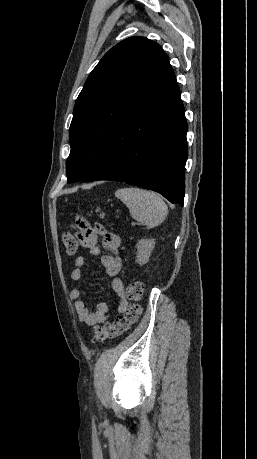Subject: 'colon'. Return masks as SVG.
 Returning a JSON list of instances; mask_svg holds the SVG:
<instances>
[{
	"label": "colon",
	"instance_id": "1",
	"mask_svg": "<svg viewBox=\"0 0 257 459\" xmlns=\"http://www.w3.org/2000/svg\"><path fill=\"white\" fill-rule=\"evenodd\" d=\"M76 222L70 227H76ZM68 231L69 230L63 234L62 241L64 243L67 254L74 255L79 247L77 245L75 236H70ZM125 295L129 301V304L125 308L123 314L119 315L112 323H106L102 326H98L93 333L94 342H104L115 339L128 332L131 327L138 321L142 312L140 302L144 295L143 284L137 280L129 281L125 288Z\"/></svg>",
	"mask_w": 257,
	"mask_h": 459
}]
</instances>
